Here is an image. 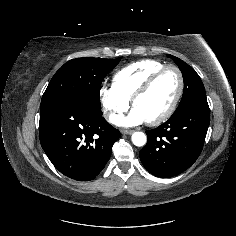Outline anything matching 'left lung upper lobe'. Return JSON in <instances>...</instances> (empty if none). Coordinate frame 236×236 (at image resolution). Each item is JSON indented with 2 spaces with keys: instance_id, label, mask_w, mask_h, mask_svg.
<instances>
[{
  "instance_id": "1",
  "label": "left lung upper lobe",
  "mask_w": 236,
  "mask_h": 236,
  "mask_svg": "<svg viewBox=\"0 0 236 236\" xmlns=\"http://www.w3.org/2000/svg\"><path fill=\"white\" fill-rule=\"evenodd\" d=\"M179 66L184 79V91L181 102L175 112L185 108L187 105L206 100V92L203 83L196 71L181 59L168 55Z\"/></svg>"
}]
</instances>
